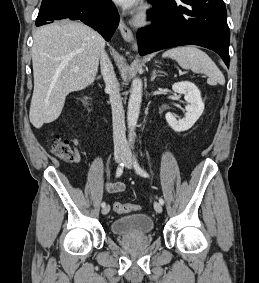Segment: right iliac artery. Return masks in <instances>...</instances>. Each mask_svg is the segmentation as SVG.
Wrapping results in <instances>:
<instances>
[{"label":"right iliac artery","instance_id":"82829eb1","mask_svg":"<svg viewBox=\"0 0 259 283\" xmlns=\"http://www.w3.org/2000/svg\"><path fill=\"white\" fill-rule=\"evenodd\" d=\"M123 168H124V164L123 163H120L118 168H117V171H116V177H120L123 173ZM106 203L105 202H102L101 206L102 207H105Z\"/></svg>","mask_w":259,"mask_h":283}]
</instances>
